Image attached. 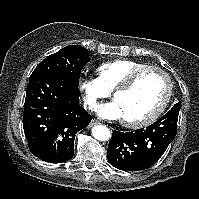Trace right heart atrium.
Returning a JSON list of instances; mask_svg holds the SVG:
<instances>
[{"label":"right heart atrium","instance_id":"obj_1","mask_svg":"<svg viewBox=\"0 0 199 199\" xmlns=\"http://www.w3.org/2000/svg\"><path fill=\"white\" fill-rule=\"evenodd\" d=\"M79 89L83 95L84 105L88 108H94L99 99L109 95L98 78L82 79L79 82Z\"/></svg>","mask_w":199,"mask_h":199}]
</instances>
